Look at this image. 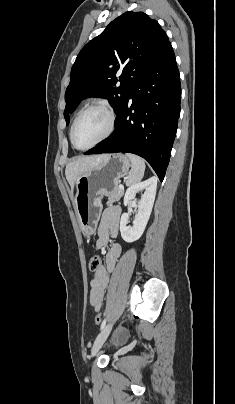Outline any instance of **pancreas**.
<instances>
[{
	"instance_id": "1",
	"label": "pancreas",
	"mask_w": 235,
	"mask_h": 404,
	"mask_svg": "<svg viewBox=\"0 0 235 404\" xmlns=\"http://www.w3.org/2000/svg\"><path fill=\"white\" fill-rule=\"evenodd\" d=\"M124 194V190L120 189L118 185H115L111 193L109 194V202L118 201Z\"/></svg>"
}]
</instances>
